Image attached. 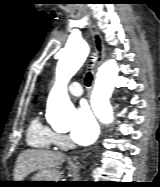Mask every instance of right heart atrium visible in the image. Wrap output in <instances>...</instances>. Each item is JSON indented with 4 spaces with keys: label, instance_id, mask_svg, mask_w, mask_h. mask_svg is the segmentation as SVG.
<instances>
[{
    "label": "right heart atrium",
    "instance_id": "right-heart-atrium-1",
    "mask_svg": "<svg viewBox=\"0 0 160 187\" xmlns=\"http://www.w3.org/2000/svg\"><path fill=\"white\" fill-rule=\"evenodd\" d=\"M56 143L59 147H67L70 145L68 138L63 134H56Z\"/></svg>",
    "mask_w": 160,
    "mask_h": 187
}]
</instances>
